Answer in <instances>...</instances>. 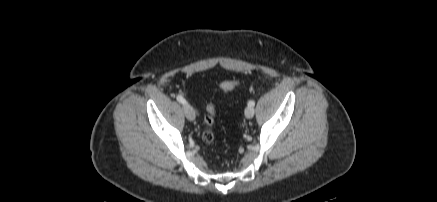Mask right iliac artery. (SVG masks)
I'll return each mask as SVG.
<instances>
[{"label": "right iliac artery", "mask_w": 437, "mask_h": 202, "mask_svg": "<svg viewBox=\"0 0 437 202\" xmlns=\"http://www.w3.org/2000/svg\"><path fill=\"white\" fill-rule=\"evenodd\" d=\"M176 99H177L178 102H180L183 105L187 104V101L181 95H178L176 97Z\"/></svg>", "instance_id": "82829eb1"}]
</instances>
